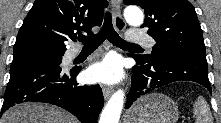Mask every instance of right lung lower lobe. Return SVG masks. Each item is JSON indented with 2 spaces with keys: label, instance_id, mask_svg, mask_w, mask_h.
<instances>
[{
  "label": "right lung lower lobe",
  "instance_id": "obj_1",
  "mask_svg": "<svg viewBox=\"0 0 221 123\" xmlns=\"http://www.w3.org/2000/svg\"><path fill=\"white\" fill-rule=\"evenodd\" d=\"M78 72H66L60 64L52 63L12 69L2 110L21 102H44L66 109L82 123H96L104 104L102 89L99 85H78Z\"/></svg>",
  "mask_w": 221,
  "mask_h": 123
}]
</instances>
